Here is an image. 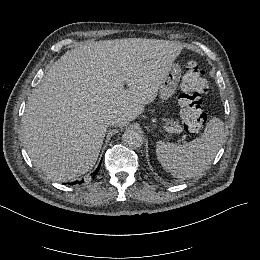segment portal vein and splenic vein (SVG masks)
Segmentation results:
<instances>
[{"label":"portal vein and splenic vein","instance_id":"obj_1","mask_svg":"<svg viewBox=\"0 0 260 260\" xmlns=\"http://www.w3.org/2000/svg\"><path fill=\"white\" fill-rule=\"evenodd\" d=\"M162 129H165V124H162ZM166 131L169 133H181L180 131H178L175 127H166ZM186 139V135H184V137L182 138V142H185Z\"/></svg>","mask_w":260,"mask_h":260}]
</instances>
